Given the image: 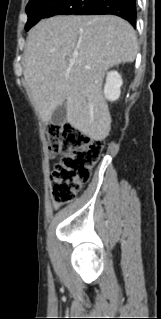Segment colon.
Masks as SVG:
<instances>
[{
    "label": "colon",
    "instance_id": "colon-1",
    "mask_svg": "<svg viewBox=\"0 0 161 319\" xmlns=\"http://www.w3.org/2000/svg\"><path fill=\"white\" fill-rule=\"evenodd\" d=\"M47 135L51 151L63 155L51 175L53 200L67 204L89 180L104 144L69 125L50 124Z\"/></svg>",
    "mask_w": 161,
    "mask_h": 319
}]
</instances>
